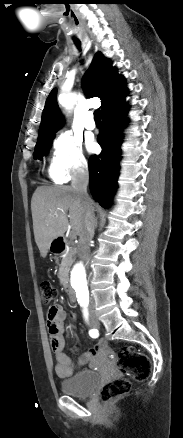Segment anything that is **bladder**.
Returning a JSON list of instances; mask_svg holds the SVG:
<instances>
[{"label":"bladder","instance_id":"obj_1","mask_svg":"<svg viewBox=\"0 0 183 438\" xmlns=\"http://www.w3.org/2000/svg\"><path fill=\"white\" fill-rule=\"evenodd\" d=\"M100 374L95 371H83L61 382V390L70 396L88 397L98 385Z\"/></svg>","mask_w":183,"mask_h":438}]
</instances>
